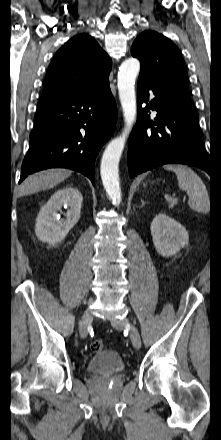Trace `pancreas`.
Listing matches in <instances>:
<instances>
[{
    "mask_svg": "<svg viewBox=\"0 0 221 440\" xmlns=\"http://www.w3.org/2000/svg\"><path fill=\"white\" fill-rule=\"evenodd\" d=\"M175 205V203L174 202H170V205H169V207L170 208H172L173 206Z\"/></svg>",
    "mask_w": 221,
    "mask_h": 440,
    "instance_id": "1",
    "label": "pancreas"
}]
</instances>
